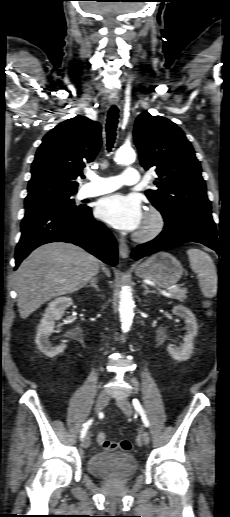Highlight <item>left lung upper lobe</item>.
<instances>
[{
  "instance_id": "5c2ea615",
  "label": "left lung upper lobe",
  "mask_w": 230,
  "mask_h": 517,
  "mask_svg": "<svg viewBox=\"0 0 230 517\" xmlns=\"http://www.w3.org/2000/svg\"><path fill=\"white\" fill-rule=\"evenodd\" d=\"M134 141L145 170L156 168V190L146 196L161 212L165 221H174L183 213L211 210L201 166L184 132L172 121L140 114L134 127Z\"/></svg>"
}]
</instances>
